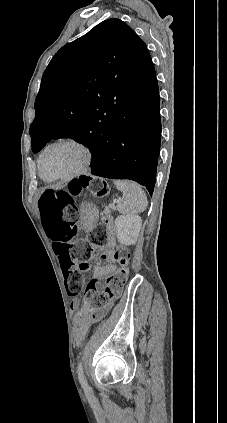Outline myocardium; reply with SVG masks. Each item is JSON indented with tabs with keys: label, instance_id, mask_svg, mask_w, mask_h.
Masks as SVG:
<instances>
[{
	"label": "myocardium",
	"instance_id": "myocardium-1",
	"mask_svg": "<svg viewBox=\"0 0 227 423\" xmlns=\"http://www.w3.org/2000/svg\"><path fill=\"white\" fill-rule=\"evenodd\" d=\"M61 144H70L80 148L84 154V161L76 170H74L71 173L59 175V176H49L44 171L43 156L49 149ZM93 161H94V153L91 147L87 143L75 137H64L48 144L40 152L39 158H38V168H39L40 175L49 182L57 181V180H73L89 172L92 167Z\"/></svg>",
	"mask_w": 227,
	"mask_h": 423
}]
</instances>
